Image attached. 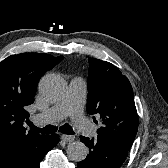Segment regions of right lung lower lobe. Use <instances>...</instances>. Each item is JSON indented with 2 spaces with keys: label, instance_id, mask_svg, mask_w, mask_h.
<instances>
[{
  "label": "right lung lower lobe",
  "instance_id": "1",
  "mask_svg": "<svg viewBox=\"0 0 168 168\" xmlns=\"http://www.w3.org/2000/svg\"><path fill=\"white\" fill-rule=\"evenodd\" d=\"M59 141L57 134L49 136L40 148L29 153L16 168H39V164L46 153L55 147Z\"/></svg>",
  "mask_w": 168,
  "mask_h": 168
}]
</instances>
